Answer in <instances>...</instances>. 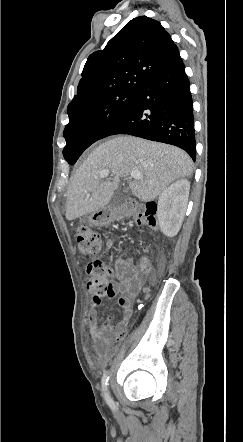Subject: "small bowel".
Here are the masks:
<instances>
[{"label": "small bowel", "mask_w": 243, "mask_h": 442, "mask_svg": "<svg viewBox=\"0 0 243 442\" xmlns=\"http://www.w3.org/2000/svg\"><path fill=\"white\" fill-rule=\"evenodd\" d=\"M107 245L111 247L112 242L107 241ZM114 267L116 280L111 282V286L114 290V296L120 294L118 305L123 309L122 318L118 322L112 323L109 317L102 326H98L97 309L91 306L87 313L90 330L95 339V362L99 366L105 365L109 357L108 347L110 340L106 338V332H112L116 340L122 337L121 334L125 330L126 322L131 314L132 303L141 291L144 283L132 260L118 258L115 261Z\"/></svg>", "instance_id": "c3829d8e"}]
</instances>
